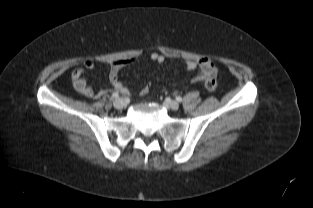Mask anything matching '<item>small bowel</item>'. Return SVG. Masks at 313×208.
Here are the masks:
<instances>
[{
	"label": "small bowel",
	"instance_id": "obj_1",
	"mask_svg": "<svg viewBox=\"0 0 313 208\" xmlns=\"http://www.w3.org/2000/svg\"><path fill=\"white\" fill-rule=\"evenodd\" d=\"M150 58L152 61H155L157 63H163L165 61V56L157 52L151 53ZM133 60V58L129 57L125 59L115 60L110 64L109 81L111 88L119 91L124 95H128L129 90L126 86H124L123 83L119 81L118 74L123 67L131 63ZM185 64L187 70L199 71L197 76L195 77V80L198 82H203L208 76L216 73V67L214 63L208 58L187 60ZM95 65V60L91 58L86 59L83 63V67L76 68L71 74L72 83L75 91L83 96L90 98H99L107 92V89H101L98 92H95L93 88L88 85L85 79V71L93 69Z\"/></svg>",
	"mask_w": 313,
	"mask_h": 208
}]
</instances>
